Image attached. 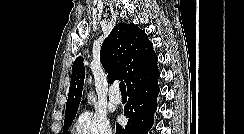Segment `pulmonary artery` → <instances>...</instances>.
Returning <instances> with one entry per match:
<instances>
[{
    "label": "pulmonary artery",
    "instance_id": "obj_1",
    "mask_svg": "<svg viewBox=\"0 0 244 134\" xmlns=\"http://www.w3.org/2000/svg\"><path fill=\"white\" fill-rule=\"evenodd\" d=\"M108 97H109L110 102L113 104H120L121 103V95L118 92V86L117 85H113L110 88Z\"/></svg>",
    "mask_w": 244,
    "mask_h": 134
}]
</instances>
